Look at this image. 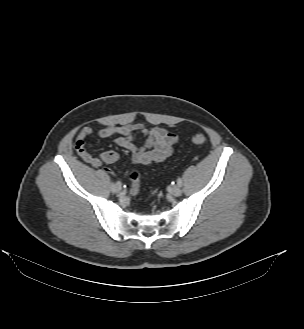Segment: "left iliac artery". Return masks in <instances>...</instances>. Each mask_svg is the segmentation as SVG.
Returning a JSON list of instances; mask_svg holds the SVG:
<instances>
[{
    "mask_svg": "<svg viewBox=\"0 0 304 329\" xmlns=\"http://www.w3.org/2000/svg\"><path fill=\"white\" fill-rule=\"evenodd\" d=\"M177 184L179 186H182V179L180 177L177 178Z\"/></svg>",
    "mask_w": 304,
    "mask_h": 329,
    "instance_id": "left-iliac-artery-1",
    "label": "left iliac artery"
}]
</instances>
